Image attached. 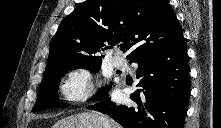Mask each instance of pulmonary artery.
<instances>
[{
  "instance_id": "1",
  "label": "pulmonary artery",
  "mask_w": 221,
  "mask_h": 128,
  "mask_svg": "<svg viewBox=\"0 0 221 128\" xmlns=\"http://www.w3.org/2000/svg\"><path fill=\"white\" fill-rule=\"evenodd\" d=\"M113 64L116 68L123 69L126 66V60L124 58L119 57V56H115L113 58Z\"/></svg>"
}]
</instances>
